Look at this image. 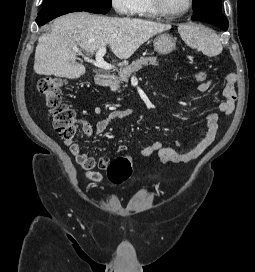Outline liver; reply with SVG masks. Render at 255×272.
<instances>
[{"label": "liver", "instance_id": "6515ba94", "mask_svg": "<svg viewBox=\"0 0 255 272\" xmlns=\"http://www.w3.org/2000/svg\"><path fill=\"white\" fill-rule=\"evenodd\" d=\"M169 29L170 24L144 19L70 13L55 19L50 33L39 37L34 71L39 75L77 79L86 69L76 63L75 49L92 53L109 45L115 56L125 60L148 39Z\"/></svg>", "mask_w": 255, "mask_h": 272}]
</instances>
